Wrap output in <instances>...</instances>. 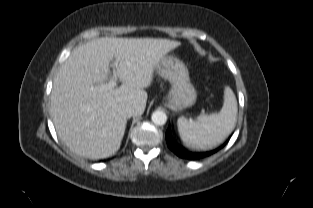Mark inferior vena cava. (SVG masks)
Wrapping results in <instances>:
<instances>
[{
	"label": "inferior vena cava",
	"mask_w": 313,
	"mask_h": 208,
	"mask_svg": "<svg viewBox=\"0 0 313 208\" xmlns=\"http://www.w3.org/2000/svg\"><path fill=\"white\" fill-rule=\"evenodd\" d=\"M118 111L123 117L130 118L135 114V106L130 103L122 104L120 105Z\"/></svg>",
	"instance_id": "obj_1"
}]
</instances>
